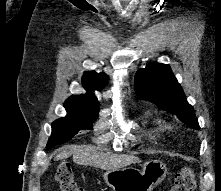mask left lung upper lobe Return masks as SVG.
<instances>
[{
    "instance_id": "obj_1",
    "label": "left lung upper lobe",
    "mask_w": 221,
    "mask_h": 191,
    "mask_svg": "<svg viewBox=\"0 0 221 191\" xmlns=\"http://www.w3.org/2000/svg\"><path fill=\"white\" fill-rule=\"evenodd\" d=\"M138 97L153 102L169 113L175 114L189 127L199 128L193 107L187 102L184 92L169 65L150 63L135 75Z\"/></svg>"
}]
</instances>
